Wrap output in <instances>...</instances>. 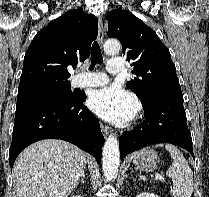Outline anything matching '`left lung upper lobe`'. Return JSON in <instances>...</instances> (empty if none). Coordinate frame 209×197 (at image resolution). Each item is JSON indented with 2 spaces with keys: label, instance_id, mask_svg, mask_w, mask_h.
Listing matches in <instances>:
<instances>
[{
  "label": "left lung upper lobe",
  "instance_id": "5c2ea615",
  "mask_svg": "<svg viewBox=\"0 0 209 197\" xmlns=\"http://www.w3.org/2000/svg\"><path fill=\"white\" fill-rule=\"evenodd\" d=\"M108 36L120 40L134 78L127 86L142 103L160 95H182L176 68L168 48L139 18L125 10L107 16Z\"/></svg>",
  "mask_w": 209,
  "mask_h": 197
}]
</instances>
